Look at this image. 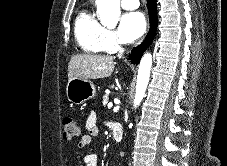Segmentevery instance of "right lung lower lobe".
<instances>
[{
    "label": "right lung lower lobe",
    "instance_id": "right-lung-lower-lobe-1",
    "mask_svg": "<svg viewBox=\"0 0 227 166\" xmlns=\"http://www.w3.org/2000/svg\"><path fill=\"white\" fill-rule=\"evenodd\" d=\"M147 3H148L149 18H150V30L144 42L138 47L134 48L132 51L130 58H131V61L135 64L139 63V60L143 52L151 44L156 32V26H157L156 2L155 0H147Z\"/></svg>",
    "mask_w": 227,
    "mask_h": 166
}]
</instances>
